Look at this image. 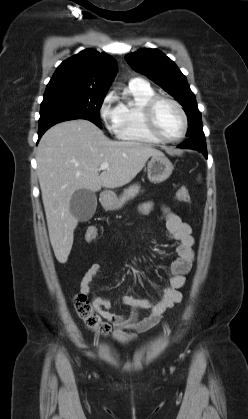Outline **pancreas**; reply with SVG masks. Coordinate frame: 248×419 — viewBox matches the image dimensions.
I'll use <instances>...</instances> for the list:
<instances>
[{
	"label": "pancreas",
	"instance_id": "obj_1",
	"mask_svg": "<svg viewBox=\"0 0 248 419\" xmlns=\"http://www.w3.org/2000/svg\"><path fill=\"white\" fill-rule=\"evenodd\" d=\"M140 186L137 184H134L130 186L129 188L124 190L123 196L120 198V203H124L127 199L130 197H134L136 194L139 193Z\"/></svg>",
	"mask_w": 248,
	"mask_h": 419
}]
</instances>
